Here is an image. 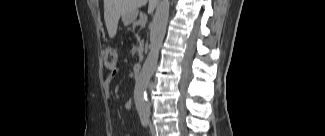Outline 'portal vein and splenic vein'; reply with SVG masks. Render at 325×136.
Masks as SVG:
<instances>
[{
  "instance_id": "obj_1",
  "label": "portal vein and splenic vein",
  "mask_w": 325,
  "mask_h": 136,
  "mask_svg": "<svg viewBox=\"0 0 325 136\" xmlns=\"http://www.w3.org/2000/svg\"><path fill=\"white\" fill-rule=\"evenodd\" d=\"M140 21L142 25L145 24L147 21V17H141Z\"/></svg>"
}]
</instances>
